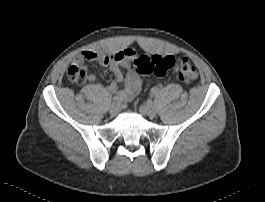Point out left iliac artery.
Masks as SVG:
<instances>
[{
    "instance_id": "left-iliac-artery-1",
    "label": "left iliac artery",
    "mask_w": 265,
    "mask_h": 202,
    "mask_svg": "<svg viewBox=\"0 0 265 202\" xmlns=\"http://www.w3.org/2000/svg\"><path fill=\"white\" fill-rule=\"evenodd\" d=\"M157 93V89L156 88H152L151 89V94L155 95Z\"/></svg>"
}]
</instances>
